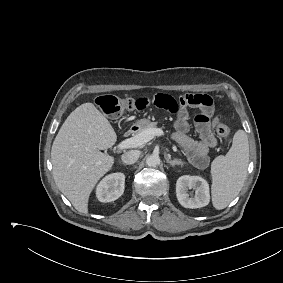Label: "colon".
<instances>
[{"mask_svg":"<svg viewBox=\"0 0 283 283\" xmlns=\"http://www.w3.org/2000/svg\"><path fill=\"white\" fill-rule=\"evenodd\" d=\"M136 100L133 98H117L114 96H101L96 99L98 107L107 115L117 117L125 111L135 108ZM216 133L225 141L230 142L231 130L226 117L221 116L216 123Z\"/></svg>","mask_w":283,"mask_h":283,"instance_id":"obj_1","label":"colon"}]
</instances>
